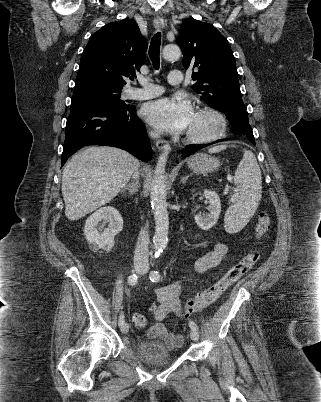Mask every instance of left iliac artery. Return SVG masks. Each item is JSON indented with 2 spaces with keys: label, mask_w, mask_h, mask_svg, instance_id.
Returning <instances> with one entry per match:
<instances>
[{
  "label": "left iliac artery",
  "mask_w": 321,
  "mask_h": 402,
  "mask_svg": "<svg viewBox=\"0 0 321 402\" xmlns=\"http://www.w3.org/2000/svg\"><path fill=\"white\" fill-rule=\"evenodd\" d=\"M150 280L152 282H158L160 280L159 272L158 271H152L150 273ZM189 326H190L191 329L198 330L197 324L195 322H193V321L189 322Z\"/></svg>",
  "instance_id": "obj_1"
}]
</instances>
